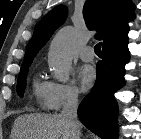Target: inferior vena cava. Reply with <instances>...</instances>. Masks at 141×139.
Returning a JSON list of instances; mask_svg holds the SVG:
<instances>
[{
  "label": "inferior vena cava",
  "mask_w": 141,
  "mask_h": 139,
  "mask_svg": "<svg viewBox=\"0 0 141 139\" xmlns=\"http://www.w3.org/2000/svg\"><path fill=\"white\" fill-rule=\"evenodd\" d=\"M78 109V97L74 93H70L66 96L63 104L61 116L68 122L72 139H80L81 135V123L77 117Z\"/></svg>",
  "instance_id": "obj_1"
}]
</instances>
